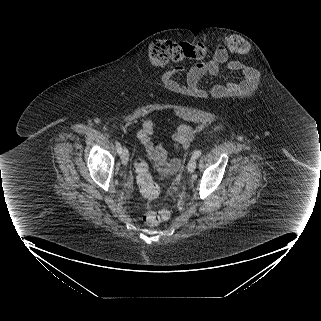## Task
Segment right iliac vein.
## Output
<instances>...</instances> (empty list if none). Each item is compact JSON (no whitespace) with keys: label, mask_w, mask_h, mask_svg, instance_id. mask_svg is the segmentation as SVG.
<instances>
[{"label":"right iliac vein","mask_w":321,"mask_h":321,"mask_svg":"<svg viewBox=\"0 0 321 321\" xmlns=\"http://www.w3.org/2000/svg\"><path fill=\"white\" fill-rule=\"evenodd\" d=\"M129 159V153L126 147L122 148L121 152V161L123 165H127Z\"/></svg>","instance_id":"63e3f726"}]
</instances>
